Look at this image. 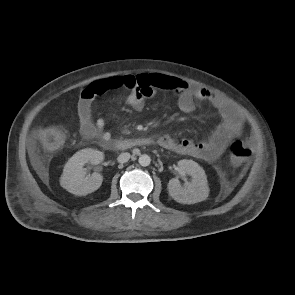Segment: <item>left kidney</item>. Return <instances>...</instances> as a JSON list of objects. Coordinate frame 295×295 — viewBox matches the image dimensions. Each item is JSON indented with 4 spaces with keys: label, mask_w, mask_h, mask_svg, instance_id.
Here are the masks:
<instances>
[{
    "label": "left kidney",
    "mask_w": 295,
    "mask_h": 295,
    "mask_svg": "<svg viewBox=\"0 0 295 295\" xmlns=\"http://www.w3.org/2000/svg\"><path fill=\"white\" fill-rule=\"evenodd\" d=\"M178 168L191 176V182L182 187L177 178L168 183L169 195L178 203L194 204L207 199L209 187L205 171L193 160H180Z\"/></svg>",
    "instance_id": "1"
}]
</instances>
